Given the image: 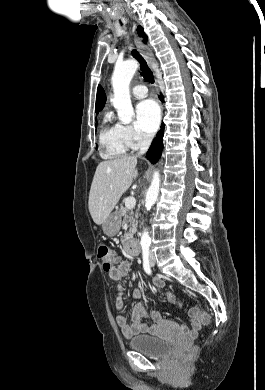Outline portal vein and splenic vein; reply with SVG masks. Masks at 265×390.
Wrapping results in <instances>:
<instances>
[{
  "label": "portal vein and splenic vein",
  "instance_id": "obj_1",
  "mask_svg": "<svg viewBox=\"0 0 265 390\" xmlns=\"http://www.w3.org/2000/svg\"><path fill=\"white\" fill-rule=\"evenodd\" d=\"M136 205V200L133 196H130V197H127L125 199V206L128 208V209H132L134 208Z\"/></svg>",
  "mask_w": 265,
  "mask_h": 390
}]
</instances>
